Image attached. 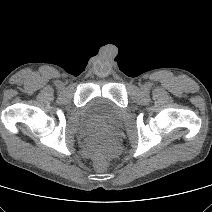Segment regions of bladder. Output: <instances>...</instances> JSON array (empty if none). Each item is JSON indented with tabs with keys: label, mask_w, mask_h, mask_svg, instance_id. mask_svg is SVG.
<instances>
[{
	"label": "bladder",
	"mask_w": 212,
	"mask_h": 212,
	"mask_svg": "<svg viewBox=\"0 0 212 212\" xmlns=\"http://www.w3.org/2000/svg\"><path fill=\"white\" fill-rule=\"evenodd\" d=\"M122 119L123 112L120 107L106 98L95 97L82 108L80 131L89 134L99 128H115L121 124Z\"/></svg>",
	"instance_id": "1"
}]
</instances>
